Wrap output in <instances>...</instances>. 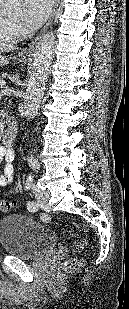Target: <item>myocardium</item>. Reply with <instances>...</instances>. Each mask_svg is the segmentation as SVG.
I'll list each match as a JSON object with an SVG mask.
<instances>
[{
	"mask_svg": "<svg viewBox=\"0 0 129 309\" xmlns=\"http://www.w3.org/2000/svg\"><path fill=\"white\" fill-rule=\"evenodd\" d=\"M12 22V24L14 25V26H17V24L15 23V22H13V21H11Z\"/></svg>",
	"mask_w": 129,
	"mask_h": 309,
	"instance_id": "obj_1",
	"label": "myocardium"
}]
</instances>
